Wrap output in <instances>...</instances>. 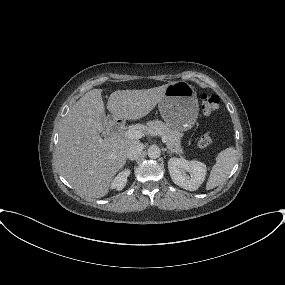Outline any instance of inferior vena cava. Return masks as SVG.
<instances>
[{"instance_id": "602c4592", "label": "inferior vena cava", "mask_w": 285, "mask_h": 285, "mask_svg": "<svg viewBox=\"0 0 285 285\" xmlns=\"http://www.w3.org/2000/svg\"><path fill=\"white\" fill-rule=\"evenodd\" d=\"M144 149V145L140 142H136L132 144L127 152V158L129 160H136L141 155L142 151Z\"/></svg>"}]
</instances>
